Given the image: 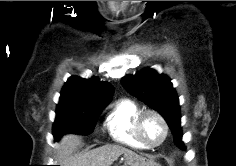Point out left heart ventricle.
I'll use <instances>...</instances> for the list:
<instances>
[{
	"mask_svg": "<svg viewBox=\"0 0 236 166\" xmlns=\"http://www.w3.org/2000/svg\"><path fill=\"white\" fill-rule=\"evenodd\" d=\"M142 132L145 139L151 143H158L164 134L161 122L153 115H148L142 125Z\"/></svg>",
	"mask_w": 236,
	"mask_h": 166,
	"instance_id": "b2bd125f",
	"label": "left heart ventricle"
}]
</instances>
